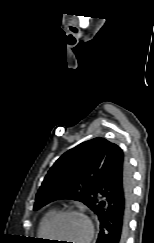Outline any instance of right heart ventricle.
Masks as SVG:
<instances>
[{"instance_id":"e07e8e85","label":"right heart ventricle","mask_w":154,"mask_h":243,"mask_svg":"<svg viewBox=\"0 0 154 243\" xmlns=\"http://www.w3.org/2000/svg\"><path fill=\"white\" fill-rule=\"evenodd\" d=\"M57 213L56 209H50L48 210L43 217L40 220L39 227H38V235L42 239H48L47 236V225L50 221V219Z\"/></svg>"}]
</instances>
